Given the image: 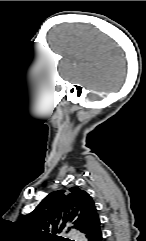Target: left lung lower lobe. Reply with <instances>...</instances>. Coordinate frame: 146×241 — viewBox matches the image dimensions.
<instances>
[{
	"label": "left lung lower lobe",
	"instance_id": "obj_1",
	"mask_svg": "<svg viewBox=\"0 0 146 241\" xmlns=\"http://www.w3.org/2000/svg\"><path fill=\"white\" fill-rule=\"evenodd\" d=\"M88 241H102V233L100 230V220L98 219L96 222L86 227L83 230Z\"/></svg>",
	"mask_w": 146,
	"mask_h": 241
}]
</instances>
